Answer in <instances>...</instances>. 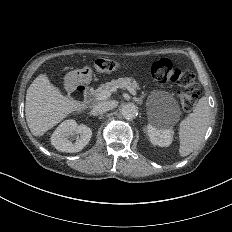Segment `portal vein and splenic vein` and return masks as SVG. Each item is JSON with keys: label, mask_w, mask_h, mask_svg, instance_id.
Masks as SVG:
<instances>
[{"label": "portal vein and splenic vein", "mask_w": 232, "mask_h": 232, "mask_svg": "<svg viewBox=\"0 0 232 232\" xmlns=\"http://www.w3.org/2000/svg\"><path fill=\"white\" fill-rule=\"evenodd\" d=\"M128 90L133 96H137L136 90H134L131 87H128ZM109 97H110V93L108 91H103L97 96L96 100L101 101V100L108 99Z\"/></svg>", "instance_id": "18ae733b"}]
</instances>
